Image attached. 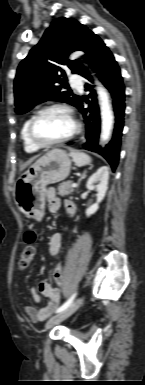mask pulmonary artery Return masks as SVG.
<instances>
[{
    "instance_id": "1",
    "label": "pulmonary artery",
    "mask_w": 145,
    "mask_h": 385,
    "mask_svg": "<svg viewBox=\"0 0 145 385\" xmlns=\"http://www.w3.org/2000/svg\"><path fill=\"white\" fill-rule=\"evenodd\" d=\"M70 83L76 89H78V90L82 89V81H81V78L79 76H72L70 78Z\"/></svg>"
}]
</instances>
